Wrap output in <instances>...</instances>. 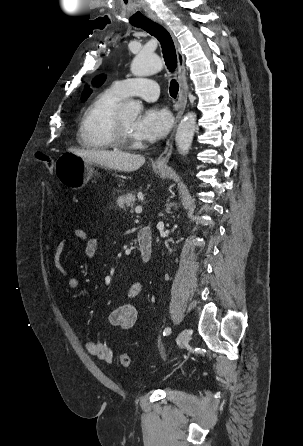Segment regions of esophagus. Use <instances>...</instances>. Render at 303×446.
<instances>
[{"label":"esophagus","mask_w":303,"mask_h":446,"mask_svg":"<svg viewBox=\"0 0 303 446\" xmlns=\"http://www.w3.org/2000/svg\"><path fill=\"white\" fill-rule=\"evenodd\" d=\"M153 21L155 23L161 25L162 27H164L172 37V40H173L174 46H175V50H176V56H177V62H178V80H179V84H180L179 93H178L179 109H178V112L175 117L173 130L171 132L170 137L168 138V140L166 142V146H165L163 152L160 154V156L154 162L155 166H157V167H166V165L170 159L172 149H173V140H174L175 130H176L179 120L181 119V117L185 111L186 104H187L186 68H185L184 54L182 53L180 44H179L177 38L175 37V35L173 34V32L171 31V29L162 20H160L157 17H154Z\"/></svg>","instance_id":"34e87169"}]
</instances>
